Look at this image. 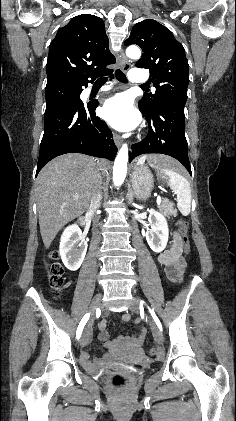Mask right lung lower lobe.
<instances>
[{"mask_svg": "<svg viewBox=\"0 0 236 421\" xmlns=\"http://www.w3.org/2000/svg\"><path fill=\"white\" fill-rule=\"evenodd\" d=\"M89 82L77 86L80 93ZM97 106L98 102L95 101L80 106L61 104L46 109L36 175L51 159L66 153H83L114 160L117 147L106 123L95 115Z\"/></svg>", "mask_w": 236, "mask_h": 421, "instance_id": "98d812e1", "label": "right lung lower lobe"}]
</instances>
